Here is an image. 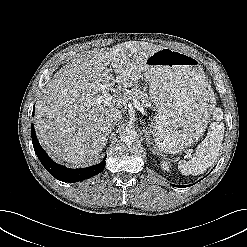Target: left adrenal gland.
<instances>
[{
    "label": "left adrenal gland",
    "instance_id": "1",
    "mask_svg": "<svg viewBox=\"0 0 247 247\" xmlns=\"http://www.w3.org/2000/svg\"><path fill=\"white\" fill-rule=\"evenodd\" d=\"M143 132H144V136H145L146 141H147V145L151 144V142H150L151 138H150V135H149L148 131L147 130H143Z\"/></svg>",
    "mask_w": 247,
    "mask_h": 247
}]
</instances>
